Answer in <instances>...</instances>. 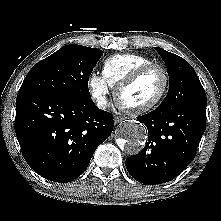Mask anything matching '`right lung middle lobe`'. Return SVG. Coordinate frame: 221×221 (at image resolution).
<instances>
[{"label": "right lung middle lobe", "mask_w": 221, "mask_h": 221, "mask_svg": "<svg viewBox=\"0 0 221 221\" xmlns=\"http://www.w3.org/2000/svg\"><path fill=\"white\" fill-rule=\"evenodd\" d=\"M103 51L71 44L38 62L19 92H37L71 99H91L89 76Z\"/></svg>", "instance_id": "right-lung-middle-lobe-1"}]
</instances>
